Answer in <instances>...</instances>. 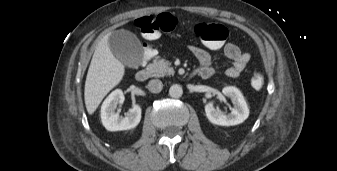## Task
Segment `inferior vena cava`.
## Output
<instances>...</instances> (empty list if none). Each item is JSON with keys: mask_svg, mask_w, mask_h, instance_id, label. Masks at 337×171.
<instances>
[{"mask_svg": "<svg viewBox=\"0 0 337 171\" xmlns=\"http://www.w3.org/2000/svg\"><path fill=\"white\" fill-rule=\"evenodd\" d=\"M147 88L152 93H159L163 88V84L159 79H152L149 81Z\"/></svg>", "mask_w": 337, "mask_h": 171, "instance_id": "inferior-vena-cava-1", "label": "inferior vena cava"}]
</instances>
